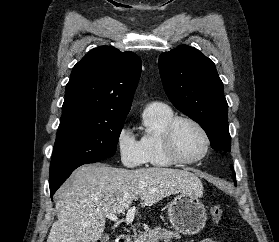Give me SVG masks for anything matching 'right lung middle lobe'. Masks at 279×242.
<instances>
[{"instance_id":"1","label":"right lung middle lobe","mask_w":279,"mask_h":242,"mask_svg":"<svg viewBox=\"0 0 279 242\" xmlns=\"http://www.w3.org/2000/svg\"><path fill=\"white\" fill-rule=\"evenodd\" d=\"M125 118L98 117L74 111L62 114L50 163L49 181L89 159L112 157Z\"/></svg>"}]
</instances>
